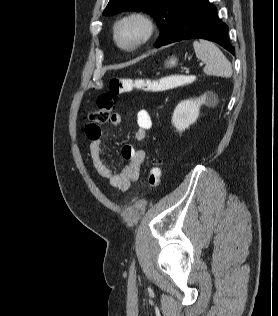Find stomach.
Here are the masks:
<instances>
[{
    "label": "stomach",
    "mask_w": 278,
    "mask_h": 316,
    "mask_svg": "<svg viewBox=\"0 0 278 316\" xmlns=\"http://www.w3.org/2000/svg\"><path fill=\"white\" fill-rule=\"evenodd\" d=\"M165 65L167 67H173L177 65V58L171 57L168 61H166Z\"/></svg>",
    "instance_id": "1"
}]
</instances>
